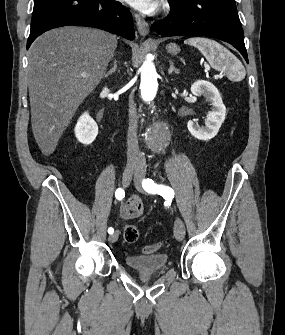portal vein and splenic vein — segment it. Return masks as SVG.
<instances>
[{
	"label": "portal vein and splenic vein",
	"instance_id": "1",
	"mask_svg": "<svg viewBox=\"0 0 285 335\" xmlns=\"http://www.w3.org/2000/svg\"><path fill=\"white\" fill-rule=\"evenodd\" d=\"M82 78H88L87 74H82Z\"/></svg>",
	"mask_w": 285,
	"mask_h": 335
}]
</instances>
